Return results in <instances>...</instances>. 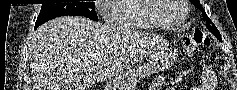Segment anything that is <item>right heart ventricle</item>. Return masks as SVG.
Returning <instances> with one entry per match:
<instances>
[{"label":"right heart ventricle","instance_id":"right-heart-ventricle-1","mask_svg":"<svg viewBox=\"0 0 237 90\" xmlns=\"http://www.w3.org/2000/svg\"><path fill=\"white\" fill-rule=\"evenodd\" d=\"M116 4L108 7V24H114V28H141L155 29L153 20H149L148 14H143V7L148 0H118Z\"/></svg>","mask_w":237,"mask_h":90}]
</instances>
